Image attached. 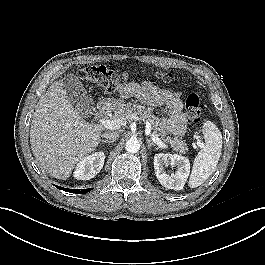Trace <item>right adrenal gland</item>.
Instances as JSON below:
<instances>
[{
  "label": "right adrenal gland",
  "mask_w": 265,
  "mask_h": 265,
  "mask_svg": "<svg viewBox=\"0 0 265 265\" xmlns=\"http://www.w3.org/2000/svg\"><path fill=\"white\" fill-rule=\"evenodd\" d=\"M101 142H102V143H112L113 140H102Z\"/></svg>",
  "instance_id": "right-adrenal-gland-1"
}]
</instances>
